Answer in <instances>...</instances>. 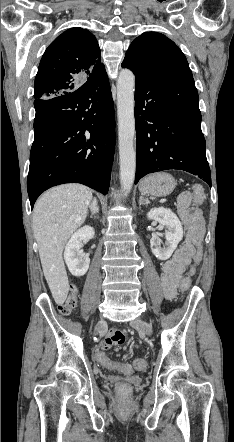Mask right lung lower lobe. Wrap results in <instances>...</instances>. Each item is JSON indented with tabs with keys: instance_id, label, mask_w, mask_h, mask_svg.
<instances>
[{
	"instance_id": "right-lung-lower-lobe-1",
	"label": "right lung lower lobe",
	"mask_w": 234,
	"mask_h": 442,
	"mask_svg": "<svg viewBox=\"0 0 234 442\" xmlns=\"http://www.w3.org/2000/svg\"><path fill=\"white\" fill-rule=\"evenodd\" d=\"M34 142L27 181L31 208L63 183H81L106 195L115 149V119L106 73L77 90L34 101Z\"/></svg>"
}]
</instances>
